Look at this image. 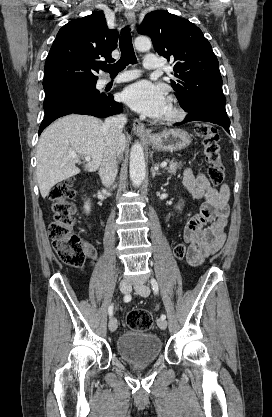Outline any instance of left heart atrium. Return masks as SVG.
Wrapping results in <instances>:
<instances>
[{
  "mask_svg": "<svg viewBox=\"0 0 272 417\" xmlns=\"http://www.w3.org/2000/svg\"><path fill=\"white\" fill-rule=\"evenodd\" d=\"M121 98L133 110L149 117L163 116L168 107L164 87L147 80L126 87Z\"/></svg>",
  "mask_w": 272,
  "mask_h": 417,
  "instance_id": "left-heart-atrium-1",
  "label": "left heart atrium"
}]
</instances>
